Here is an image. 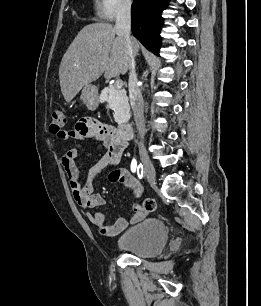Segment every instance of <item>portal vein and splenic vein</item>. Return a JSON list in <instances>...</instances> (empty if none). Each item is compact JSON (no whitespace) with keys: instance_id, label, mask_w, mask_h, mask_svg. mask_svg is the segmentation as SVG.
<instances>
[{"instance_id":"1","label":"portal vein and splenic vein","mask_w":261,"mask_h":306,"mask_svg":"<svg viewBox=\"0 0 261 306\" xmlns=\"http://www.w3.org/2000/svg\"><path fill=\"white\" fill-rule=\"evenodd\" d=\"M115 85H116L117 88H122V86H123V81H122V80H117V81L115 82Z\"/></svg>"}]
</instances>
